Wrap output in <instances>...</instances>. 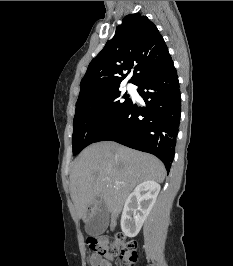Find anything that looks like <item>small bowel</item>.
Listing matches in <instances>:
<instances>
[{
	"instance_id": "1",
	"label": "small bowel",
	"mask_w": 233,
	"mask_h": 266,
	"mask_svg": "<svg viewBox=\"0 0 233 266\" xmlns=\"http://www.w3.org/2000/svg\"><path fill=\"white\" fill-rule=\"evenodd\" d=\"M89 263L91 266H110L108 260H104L99 254L92 253L89 257Z\"/></svg>"
}]
</instances>
